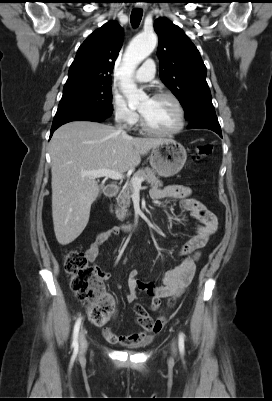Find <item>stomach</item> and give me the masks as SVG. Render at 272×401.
<instances>
[{"label":"stomach","instance_id":"stomach-1","mask_svg":"<svg viewBox=\"0 0 272 401\" xmlns=\"http://www.w3.org/2000/svg\"><path fill=\"white\" fill-rule=\"evenodd\" d=\"M149 159L154 172L162 177H171L183 168L187 153L183 145L177 141L164 139L152 149Z\"/></svg>","mask_w":272,"mask_h":401}]
</instances>
